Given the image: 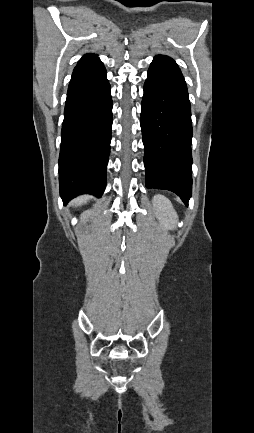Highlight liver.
Listing matches in <instances>:
<instances>
[{"label": "liver", "instance_id": "obj_1", "mask_svg": "<svg viewBox=\"0 0 254 433\" xmlns=\"http://www.w3.org/2000/svg\"><path fill=\"white\" fill-rule=\"evenodd\" d=\"M86 200H87L86 197L79 198V199H77V200L74 201V205H75V206H79V205H81L82 203L86 202Z\"/></svg>", "mask_w": 254, "mask_h": 433}]
</instances>
